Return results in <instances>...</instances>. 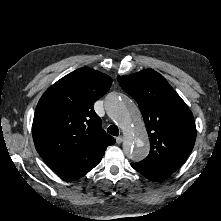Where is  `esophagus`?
Here are the masks:
<instances>
[{
  "mask_svg": "<svg viewBox=\"0 0 221 221\" xmlns=\"http://www.w3.org/2000/svg\"><path fill=\"white\" fill-rule=\"evenodd\" d=\"M123 142V137L122 136H118L117 138H116V143L117 144H121Z\"/></svg>",
  "mask_w": 221,
  "mask_h": 221,
  "instance_id": "esophagus-1",
  "label": "esophagus"
}]
</instances>
